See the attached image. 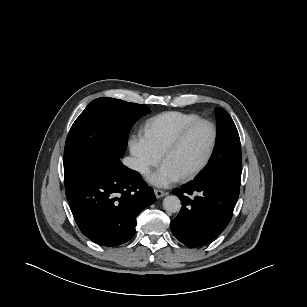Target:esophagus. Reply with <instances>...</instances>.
<instances>
[{
  "mask_svg": "<svg viewBox=\"0 0 307 307\" xmlns=\"http://www.w3.org/2000/svg\"><path fill=\"white\" fill-rule=\"evenodd\" d=\"M154 193L156 198H161L163 197L166 193L160 189H154Z\"/></svg>",
  "mask_w": 307,
  "mask_h": 307,
  "instance_id": "esophagus-1",
  "label": "esophagus"
}]
</instances>
